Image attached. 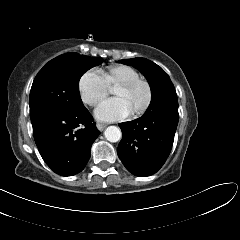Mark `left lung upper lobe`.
<instances>
[{
    "label": "left lung upper lobe",
    "mask_w": 240,
    "mask_h": 240,
    "mask_svg": "<svg viewBox=\"0 0 240 240\" xmlns=\"http://www.w3.org/2000/svg\"><path fill=\"white\" fill-rule=\"evenodd\" d=\"M118 62L132 65L146 77L152 93V100L146 113L159 108L178 110L175 88L167 73L160 66L144 58L124 59Z\"/></svg>",
    "instance_id": "obj_1"
}]
</instances>
